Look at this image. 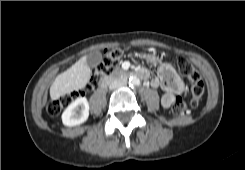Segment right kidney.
<instances>
[{"mask_svg": "<svg viewBox=\"0 0 245 170\" xmlns=\"http://www.w3.org/2000/svg\"><path fill=\"white\" fill-rule=\"evenodd\" d=\"M89 117V103L85 97L77 98L63 112L62 122L65 126L84 123Z\"/></svg>", "mask_w": 245, "mask_h": 170, "instance_id": "obj_1", "label": "right kidney"}]
</instances>
